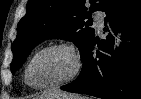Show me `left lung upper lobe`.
Segmentation results:
<instances>
[{
	"instance_id": "left-lung-upper-lobe-1",
	"label": "left lung upper lobe",
	"mask_w": 141,
	"mask_h": 99,
	"mask_svg": "<svg viewBox=\"0 0 141 99\" xmlns=\"http://www.w3.org/2000/svg\"><path fill=\"white\" fill-rule=\"evenodd\" d=\"M116 0H28L27 13L19 21L17 37L13 43L14 74L25 62L31 50L48 38L72 41L80 50L81 56L94 38V30L89 28L85 19L93 11H105Z\"/></svg>"
}]
</instances>
